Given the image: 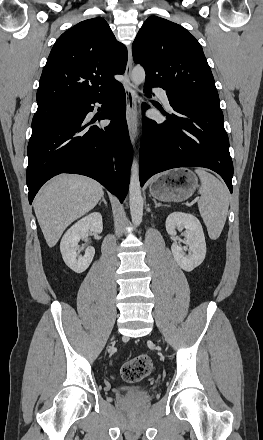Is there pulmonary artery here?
I'll return each instance as SVG.
<instances>
[{
  "label": "pulmonary artery",
  "mask_w": 263,
  "mask_h": 440,
  "mask_svg": "<svg viewBox=\"0 0 263 440\" xmlns=\"http://www.w3.org/2000/svg\"><path fill=\"white\" fill-rule=\"evenodd\" d=\"M154 92L157 94V96L160 98L166 108L171 110V105L166 91L162 88H155Z\"/></svg>",
  "instance_id": "obj_1"
}]
</instances>
